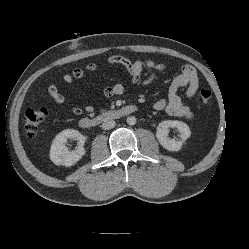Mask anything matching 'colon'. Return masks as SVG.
I'll return each mask as SVG.
<instances>
[{"label":"colon","instance_id":"colon-1","mask_svg":"<svg viewBox=\"0 0 249 249\" xmlns=\"http://www.w3.org/2000/svg\"><path fill=\"white\" fill-rule=\"evenodd\" d=\"M212 93L209 89H203L200 92V98L203 102H209ZM48 114V109L45 107H34L28 109L24 117L25 132L29 137L37 135L42 123Z\"/></svg>","mask_w":249,"mask_h":249}]
</instances>
